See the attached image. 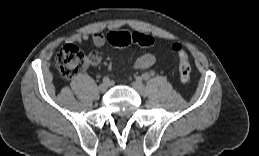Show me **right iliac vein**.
I'll list each match as a JSON object with an SVG mask.
<instances>
[{
  "instance_id": "obj_1",
  "label": "right iliac vein",
  "mask_w": 259,
  "mask_h": 156,
  "mask_svg": "<svg viewBox=\"0 0 259 156\" xmlns=\"http://www.w3.org/2000/svg\"><path fill=\"white\" fill-rule=\"evenodd\" d=\"M108 87H109V84L103 82V83H101V84L99 85L98 90H99V92L104 93V92L107 91Z\"/></svg>"
}]
</instances>
